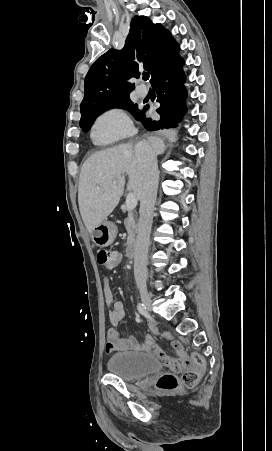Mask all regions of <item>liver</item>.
Returning a JSON list of instances; mask_svg holds the SVG:
<instances>
[{
	"label": "liver",
	"instance_id": "obj_1",
	"mask_svg": "<svg viewBox=\"0 0 272 451\" xmlns=\"http://www.w3.org/2000/svg\"><path fill=\"white\" fill-rule=\"evenodd\" d=\"M148 142L155 154H163L165 144L161 138L150 136ZM125 174L129 178L128 192H133L136 200H140L143 168L137 160L133 144H120L95 152L84 162L79 178L78 204L89 233L118 206L124 192ZM98 190H102V194Z\"/></svg>",
	"mask_w": 272,
	"mask_h": 451
}]
</instances>
